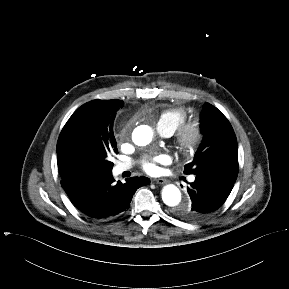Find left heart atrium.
Returning <instances> with one entry per match:
<instances>
[{
    "instance_id": "left-heart-atrium-1",
    "label": "left heart atrium",
    "mask_w": 289,
    "mask_h": 289,
    "mask_svg": "<svg viewBox=\"0 0 289 289\" xmlns=\"http://www.w3.org/2000/svg\"><path fill=\"white\" fill-rule=\"evenodd\" d=\"M171 157L167 153H156L153 155H146L141 159V166L148 174H156L159 172L161 164H168Z\"/></svg>"
}]
</instances>
